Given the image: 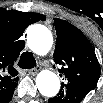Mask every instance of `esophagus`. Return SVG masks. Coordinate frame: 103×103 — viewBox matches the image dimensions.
Returning a JSON list of instances; mask_svg holds the SVG:
<instances>
[{"mask_svg":"<svg viewBox=\"0 0 103 103\" xmlns=\"http://www.w3.org/2000/svg\"><path fill=\"white\" fill-rule=\"evenodd\" d=\"M38 71H39V68H33V69L30 70V73L32 75H35V74H37Z\"/></svg>","mask_w":103,"mask_h":103,"instance_id":"obj_1","label":"esophagus"}]
</instances>
